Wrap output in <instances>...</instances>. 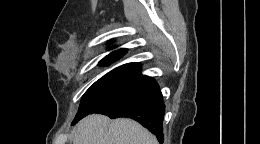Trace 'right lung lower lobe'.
<instances>
[{
	"label": "right lung lower lobe",
	"mask_w": 260,
	"mask_h": 144,
	"mask_svg": "<svg viewBox=\"0 0 260 144\" xmlns=\"http://www.w3.org/2000/svg\"><path fill=\"white\" fill-rule=\"evenodd\" d=\"M91 113L104 114L112 119L119 117L134 119L153 133L160 142L164 141L162 123L165 106L159 86L151 77L138 73L123 89ZM80 119L73 121L72 124Z\"/></svg>",
	"instance_id": "obj_1"
}]
</instances>
